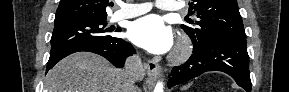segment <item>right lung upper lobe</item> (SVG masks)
Returning <instances> with one entry per match:
<instances>
[{"instance_id": "right-lung-upper-lobe-1", "label": "right lung upper lobe", "mask_w": 289, "mask_h": 92, "mask_svg": "<svg viewBox=\"0 0 289 92\" xmlns=\"http://www.w3.org/2000/svg\"><path fill=\"white\" fill-rule=\"evenodd\" d=\"M109 0H61L56 11L55 22L76 19H106L105 8Z\"/></svg>"}]
</instances>
